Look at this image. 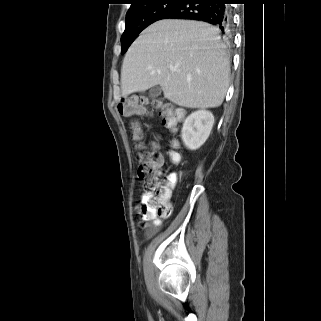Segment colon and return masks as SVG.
<instances>
[{
	"label": "colon",
	"instance_id": "5ec220e1",
	"mask_svg": "<svg viewBox=\"0 0 321 321\" xmlns=\"http://www.w3.org/2000/svg\"><path fill=\"white\" fill-rule=\"evenodd\" d=\"M149 107L161 115L163 124L169 129H174L183 117L182 112L172 103L162 99L150 100L144 96L124 99L118 108L122 115L132 116L146 113ZM133 130V138L139 149L136 154L137 175L144 182L145 193L148 195V200L138 210L143 216L167 218L172 212V204L169 202L168 189L161 183L164 163L157 152L141 150L139 127L134 125ZM170 157L174 162L179 161L176 152H171Z\"/></svg>",
	"mask_w": 321,
	"mask_h": 321
}]
</instances>
